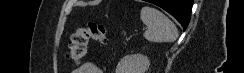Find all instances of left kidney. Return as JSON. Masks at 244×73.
Returning a JSON list of instances; mask_svg holds the SVG:
<instances>
[{"mask_svg":"<svg viewBox=\"0 0 244 73\" xmlns=\"http://www.w3.org/2000/svg\"><path fill=\"white\" fill-rule=\"evenodd\" d=\"M149 66L150 61L143 54L126 55L118 63L115 73H146Z\"/></svg>","mask_w":244,"mask_h":73,"instance_id":"left-kidney-1","label":"left kidney"}]
</instances>
